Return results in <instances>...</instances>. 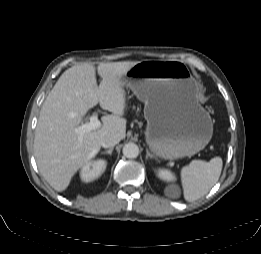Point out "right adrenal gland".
I'll return each mask as SVG.
<instances>
[{"label": "right adrenal gland", "mask_w": 261, "mask_h": 254, "mask_svg": "<svg viewBox=\"0 0 261 254\" xmlns=\"http://www.w3.org/2000/svg\"><path fill=\"white\" fill-rule=\"evenodd\" d=\"M113 147H111V148H109L108 150H105V151H103V152H101V154H109V155H111L112 154V151H113Z\"/></svg>", "instance_id": "2a0ac1e0"}]
</instances>
